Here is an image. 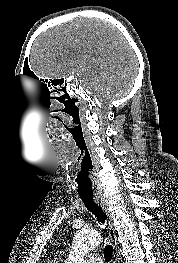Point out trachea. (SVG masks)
<instances>
[{
	"instance_id": "1",
	"label": "trachea",
	"mask_w": 178,
	"mask_h": 263,
	"mask_svg": "<svg viewBox=\"0 0 178 263\" xmlns=\"http://www.w3.org/2000/svg\"><path fill=\"white\" fill-rule=\"evenodd\" d=\"M76 182L78 194L84 202L85 206L90 212H92L95 215L98 222L104 224L107 219V215L101 208V206L98 205L93 198V187L90 179V167L81 166V169L76 178ZM112 253L113 246L107 244L104 248L105 259L110 260L112 258Z\"/></svg>"
}]
</instances>
